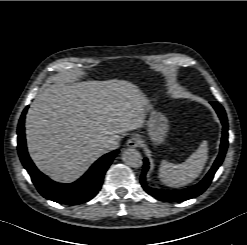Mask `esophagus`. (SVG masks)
I'll return each instance as SVG.
<instances>
[{
  "label": "esophagus",
  "instance_id": "1",
  "mask_svg": "<svg viewBox=\"0 0 247 245\" xmlns=\"http://www.w3.org/2000/svg\"><path fill=\"white\" fill-rule=\"evenodd\" d=\"M140 144V137L138 135H134L130 137L127 141V146L128 147H138Z\"/></svg>",
  "mask_w": 247,
  "mask_h": 245
}]
</instances>
